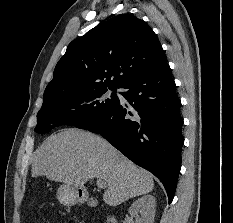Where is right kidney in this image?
<instances>
[{"instance_id":"right-kidney-1","label":"right kidney","mask_w":233,"mask_h":223,"mask_svg":"<svg viewBox=\"0 0 233 223\" xmlns=\"http://www.w3.org/2000/svg\"><path fill=\"white\" fill-rule=\"evenodd\" d=\"M156 199L154 195H142L133 201L129 213L135 217V223H154Z\"/></svg>"}]
</instances>
